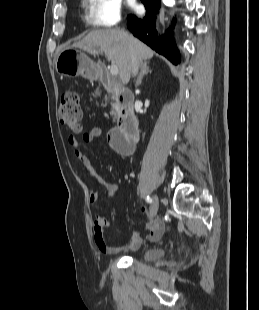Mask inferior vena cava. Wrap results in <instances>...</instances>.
I'll use <instances>...</instances> for the list:
<instances>
[{
  "label": "inferior vena cava",
  "mask_w": 259,
  "mask_h": 310,
  "mask_svg": "<svg viewBox=\"0 0 259 310\" xmlns=\"http://www.w3.org/2000/svg\"><path fill=\"white\" fill-rule=\"evenodd\" d=\"M131 64H132V74L135 76L138 73L139 67L141 65V62L139 59L135 56H131Z\"/></svg>",
  "instance_id": "1"
}]
</instances>
